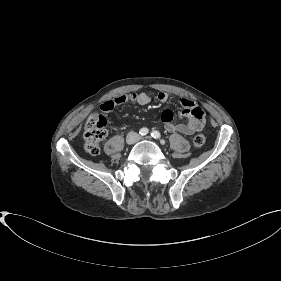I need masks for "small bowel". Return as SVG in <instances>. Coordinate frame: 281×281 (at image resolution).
<instances>
[{
    "label": "small bowel",
    "mask_w": 281,
    "mask_h": 281,
    "mask_svg": "<svg viewBox=\"0 0 281 281\" xmlns=\"http://www.w3.org/2000/svg\"><path fill=\"white\" fill-rule=\"evenodd\" d=\"M159 102H166L168 94L160 91L156 95ZM151 97L147 93H132L127 95H119L113 99L105 101L101 105V110L105 113L111 112L116 106L126 102L136 103L139 105H147L150 103ZM182 110L179 113L180 119H185L186 122L175 123V115L173 111L167 109L161 113L160 119L164 123L165 129L169 132H179L184 135H192L203 129L205 125L204 111L192 100L182 98L180 100Z\"/></svg>",
    "instance_id": "small-bowel-1"
}]
</instances>
